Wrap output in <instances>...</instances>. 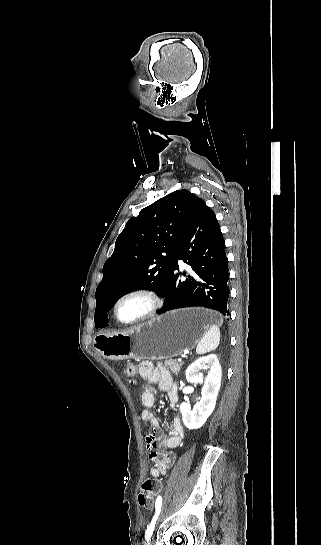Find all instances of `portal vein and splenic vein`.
Listing matches in <instances>:
<instances>
[{
	"mask_svg": "<svg viewBox=\"0 0 321 545\" xmlns=\"http://www.w3.org/2000/svg\"><path fill=\"white\" fill-rule=\"evenodd\" d=\"M182 358H186V353H183V355H181ZM182 358H178V361H182Z\"/></svg>",
	"mask_w": 321,
	"mask_h": 545,
	"instance_id": "1",
	"label": "portal vein and splenic vein"
}]
</instances>
